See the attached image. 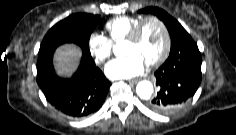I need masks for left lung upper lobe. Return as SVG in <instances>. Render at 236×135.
<instances>
[{
  "label": "left lung upper lobe",
  "mask_w": 236,
  "mask_h": 135,
  "mask_svg": "<svg viewBox=\"0 0 236 135\" xmlns=\"http://www.w3.org/2000/svg\"><path fill=\"white\" fill-rule=\"evenodd\" d=\"M139 13L154 14L164 22L171 37V50L169 56L180 52L191 44H196L181 24L164 10L158 7H148L139 10Z\"/></svg>",
  "instance_id": "obj_1"
}]
</instances>
